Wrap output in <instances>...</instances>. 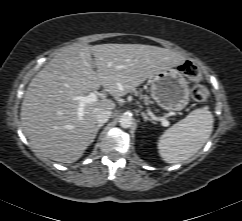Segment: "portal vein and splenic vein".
<instances>
[{
  "instance_id": "portal-vein-and-splenic-vein-1",
  "label": "portal vein and splenic vein",
  "mask_w": 242,
  "mask_h": 221,
  "mask_svg": "<svg viewBox=\"0 0 242 221\" xmlns=\"http://www.w3.org/2000/svg\"><path fill=\"white\" fill-rule=\"evenodd\" d=\"M73 100L78 101V103H79V108H78L77 114L79 116V119H82L83 109H84L85 104L98 101V96L95 92H91L87 96H74ZM162 124H163V126H169V122L165 119L162 120Z\"/></svg>"
}]
</instances>
